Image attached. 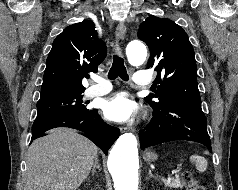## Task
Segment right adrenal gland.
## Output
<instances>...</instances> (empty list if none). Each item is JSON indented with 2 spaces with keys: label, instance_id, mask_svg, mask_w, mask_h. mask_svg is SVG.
<instances>
[{
  "label": "right adrenal gland",
  "instance_id": "2a0ac1e0",
  "mask_svg": "<svg viewBox=\"0 0 238 190\" xmlns=\"http://www.w3.org/2000/svg\"><path fill=\"white\" fill-rule=\"evenodd\" d=\"M96 169H98L99 171L102 170L101 167H100V164H99V159H98V157H96L94 166H93L92 171H91V175H92V176L96 173Z\"/></svg>",
  "mask_w": 238,
  "mask_h": 190
}]
</instances>
